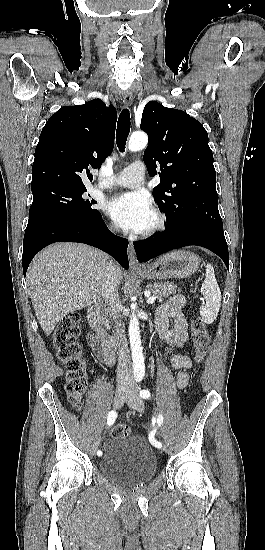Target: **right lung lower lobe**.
<instances>
[{
  "instance_id": "98d812e1",
  "label": "right lung lower lobe",
  "mask_w": 265,
  "mask_h": 550,
  "mask_svg": "<svg viewBox=\"0 0 265 550\" xmlns=\"http://www.w3.org/2000/svg\"><path fill=\"white\" fill-rule=\"evenodd\" d=\"M54 242H79L97 247L128 269V240L109 231L101 214L88 219H59L26 228L23 240L24 276L33 257Z\"/></svg>"
}]
</instances>
